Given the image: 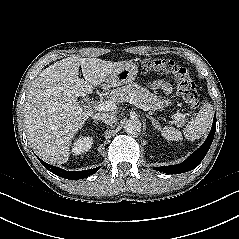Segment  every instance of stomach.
<instances>
[{
    "label": "stomach",
    "instance_id": "0dacf381",
    "mask_svg": "<svg viewBox=\"0 0 239 239\" xmlns=\"http://www.w3.org/2000/svg\"><path fill=\"white\" fill-rule=\"evenodd\" d=\"M137 73L138 67L134 62H124L107 77L102 86L104 89H110L131 83L135 80Z\"/></svg>",
    "mask_w": 239,
    "mask_h": 239
}]
</instances>
